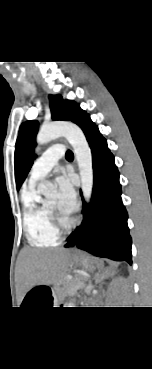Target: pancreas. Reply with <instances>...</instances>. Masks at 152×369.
I'll return each instance as SVG.
<instances>
[{"mask_svg":"<svg viewBox=\"0 0 152 369\" xmlns=\"http://www.w3.org/2000/svg\"><path fill=\"white\" fill-rule=\"evenodd\" d=\"M84 287L83 282L81 281V279L75 280L71 287L69 288V294L72 295L74 294L79 288Z\"/></svg>","mask_w":152,"mask_h":369,"instance_id":"1","label":"pancreas"}]
</instances>
